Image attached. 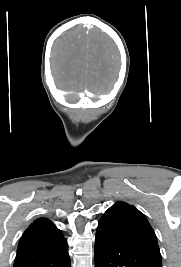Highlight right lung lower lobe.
<instances>
[{
  "label": "right lung lower lobe",
  "instance_id": "98d812e1",
  "mask_svg": "<svg viewBox=\"0 0 181 267\" xmlns=\"http://www.w3.org/2000/svg\"><path fill=\"white\" fill-rule=\"evenodd\" d=\"M14 267H70L67 248L49 253H20Z\"/></svg>",
  "mask_w": 181,
  "mask_h": 267
}]
</instances>
